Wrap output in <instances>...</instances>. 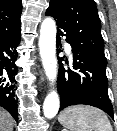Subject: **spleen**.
<instances>
[{
  "label": "spleen",
  "instance_id": "1",
  "mask_svg": "<svg viewBox=\"0 0 117 131\" xmlns=\"http://www.w3.org/2000/svg\"><path fill=\"white\" fill-rule=\"evenodd\" d=\"M58 121L69 131H113L103 111L86 105L66 108L59 115Z\"/></svg>",
  "mask_w": 117,
  "mask_h": 131
}]
</instances>
